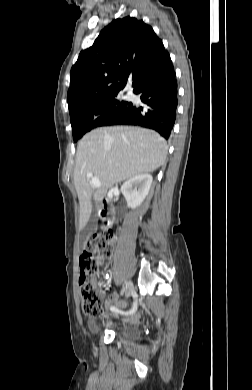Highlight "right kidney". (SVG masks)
Wrapping results in <instances>:
<instances>
[{"instance_id": "right-kidney-1", "label": "right kidney", "mask_w": 252, "mask_h": 390, "mask_svg": "<svg viewBox=\"0 0 252 390\" xmlns=\"http://www.w3.org/2000/svg\"><path fill=\"white\" fill-rule=\"evenodd\" d=\"M152 181V176L146 173L130 178L121 186V192L130 208L140 206L149 193Z\"/></svg>"}]
</instances>
